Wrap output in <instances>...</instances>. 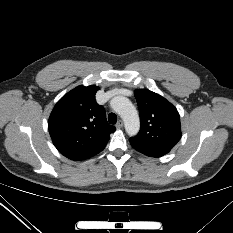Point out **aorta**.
<instances>
[{
  "mask_svg": "<svg viewBox=\"0 0 233 233\" xmlns=\"http://www.w3.org/2000/svg\"><path fill=\"white\" fill-rule=\"evenodd\" d=\"M111 108L124 121L125 130L129 136H134L140 128L139 115L131 101L123 96H116L110 101Z\"/></svg>",
  "mask_w": 233,
  "mask_h": 233,
  "instance_id": "aorta-1",
  "label": "aorta"
}]
</instances>
